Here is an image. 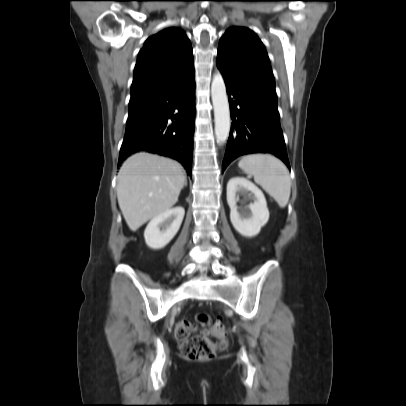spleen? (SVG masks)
Instances as JSON below:
<instances>
[{
    "label": "spleen",
    "mask_w": 406,
    "mask_h": 406,
    "mask_svg": "<svg viewBox=\"0 0 406 406\" xmlns=\"http://www.w3.org/2000/svg\"><path fill=\"white\" fill-rule=\"evenodd\" d=\"M247 174L259 184L281 208L290 198L291 180L287 167L276 157L268 154L244 156L238 163Z\"/></svg>",
    "instance_id": "obj_1"
}]
</instances>
